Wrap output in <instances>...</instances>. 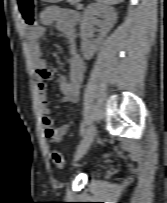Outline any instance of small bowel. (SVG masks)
<instances>
[{"label":"small bowel","instance_id":"1","mask_svg":"<svg viewBox=\"0 0 167 203\" xmlns=\"http://www.w3.org/2000/svg\"><path fill=\"white\" fill-rule=\"evenodd\" d=\"M40 28L36 32H32L28 36V48L35 66L37 76V90L39 92V104L42 115V125L44 135L48 140L58 141L67 134L71 127V123L61 124L58 127H53L52 120L49 116L50 110L48 99L46 96V82L53 79L55 76L47 65L43 57L41 38L44 30L47 27L56 25L57 29L63 33L67 39V56L69 65L68 77H58L60 90L64 97V103H76L79 98L80 86L83 81L85 72V63L76 49V28L80 21L79 14L71 9L51 6L45 8L40 16Z\"/></svg>","mask_w":167,"mask_h":203}]
</instances>
